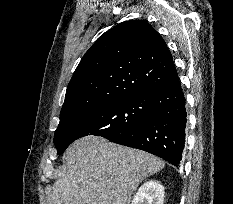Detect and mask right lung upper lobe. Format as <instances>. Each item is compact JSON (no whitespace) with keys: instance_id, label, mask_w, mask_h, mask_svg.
Listing matches in <instances>:
<instances>
[{"instance_id":"obj_1","label":"right lung upper lobe","mask_w":233,"mask_h":204,"mask_svg":"<svg viewBox=\"0 0 233 204\" xmlns=\"http://www.w3.org/2000/svg\"><path fill=\"white\" fill-rule=\"evenodd\" d=\"M176 75L165 41L150 24L122 22L83 56L68 84L58 128L110 102L150 95Z\"/></svg>"}]
</instances>
